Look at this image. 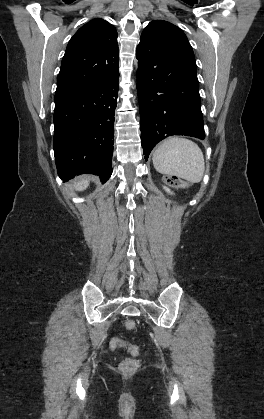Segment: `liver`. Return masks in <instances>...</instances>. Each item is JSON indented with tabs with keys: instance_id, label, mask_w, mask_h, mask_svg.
I'll return each mask as SVG.
<instances>
[{
	"instance_id": "obj_1",
	"label": "liver",
	"mask_w": 264,
	"mask_h": 419,
	"mask_svg": "<svg viewBox=\"0 0 264 419\" xmlns=\"http://www.w3.org/2000/svg\"><path fill=\"white\" fill-rule=\"evenodd\" d=\"M88 186H89V180L87 179H82L81 181L76 182L74 184V187L77 191L85 190Z\"/></svg>"
}]
</instances>
